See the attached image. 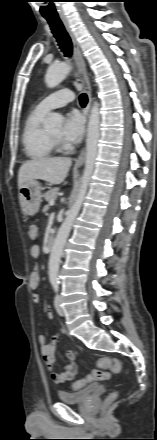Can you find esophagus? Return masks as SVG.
Wrapping results in <instances>:
<instances>
[{"label":"esophagus","mask_w":157,"mask_h":440,"mask_svg":"<svg viewBox=\"0 0 157 440\" xmlns=\"http://www.w3.org/2000/svg\"><path fill=\"white\" fill-rule=\"evenodd\" d=\"M62 22L65 26L66 31L68 32V34L71 38L72 45H73V55H74V60L76 62L77 68H78V74H79L82 85L84 86V89H85L87 96H88V104L86 107V114H88L89 110H90L91 102H92V94H91L90 82H89L88 75L86 72L85 60L82 56L79 43H78V41H77L69 23H68V20L66 18H62ZM85 157H86V150L83 149L75 162V166H77V167L81 166L85 161Z\"/></svg>","instance_id":"1"}]
</instances>
